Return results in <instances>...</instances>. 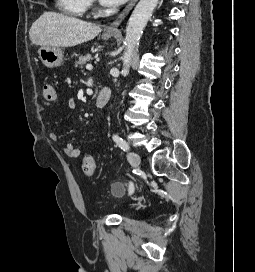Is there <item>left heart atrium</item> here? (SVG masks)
I'll list each match as a JSON object with an SVG mask.
<instances>
[{
  "mask_svg": "<svg viewBox=\"0 0 255 272\" xmlns=\"http://www.w3.org/2000/svg\"><path fill=\"white\" fill-rule=\"evenodd\" d=\"M125 0H100L101 4L107 7H116L121 5Z\"/></svg>",
  "mask_w": 255,
  "mask_h": 272,
  "instance_id": "left-heart-atrium-1",
  "label": "left heart atrium"
}]
</instances>
